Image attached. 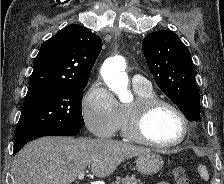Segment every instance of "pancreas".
Here are the masks:
<instances>
[{"mask_svg": "<svg viewBox=\"0 0 224 184\" xmlns=\"http://www.w3.org/2000/svg\"><path fill=\"white\" fill-rule=\"evenodd\" d=\"M112 184H144L140 180L135 179L134 176L132 177H125V178H117L115 182H112Z\"/></svg>", "mask_w": 224, "mask_h": 184, "instance_id": "cf45deb5", "label": "pancreas"}]
</instances>
